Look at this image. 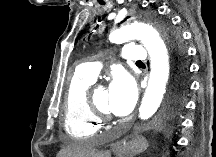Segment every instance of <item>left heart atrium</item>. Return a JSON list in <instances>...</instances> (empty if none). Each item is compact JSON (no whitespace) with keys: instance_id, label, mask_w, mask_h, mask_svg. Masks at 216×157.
Masks as SVG:
<instances>
[{"instance_id":"left-heart-atrium-1","label":"left heart atrium","mask_w":216,"mask_h":157,"mask_svg":"<svg viewBox=\"0 0 216 157\" xmlns=\"http://www.w3.org/2000/svg\"><path fill=\"white\" fill-rule=\"evenodd\" d=\"M108 110L117 116H126L134 108L137 88L132 78L124 72H116L107 89Z\"/></svg>"}]
</instances>
